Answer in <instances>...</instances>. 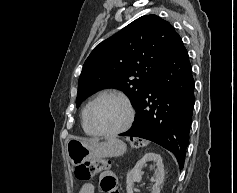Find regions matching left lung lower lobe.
<instances>
[{"label": "left lung lower lobe", "instance_id": "0a47b994", "mask_svg": "<svg viewBox=\"0 0 237 193\" xmlns=\"http://www.w3.org/2000/svg\"><path fill=\"white\" fill-rule=\"evenodd\" d=\"M194 86L188 52L181 42L142 98L133 127L120 136L159 144L175 155L182 169L195 103Z\"/></svg>", "mask_w": 237, "mask_h": 193}]
</instances>
